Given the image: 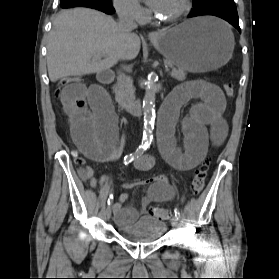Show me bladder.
<instances>
[{
	"mask_svg": "<svg viewBox=\"0 0 279 279\" xmlns=\"http://www.w3.org/2000/svg\"><path fill=\"white\" fill-rule=\"evenodd\" d=\"M167 224L159 219L142 216L131 225L118 224L117 234L132 243H150L159 240L165 234Z\"/></svg>",
	"mask_w": 279,
	"mask_h": 279,
	"instance_id": "obj_1",
	"label": "bladder"
}]
</instances>
